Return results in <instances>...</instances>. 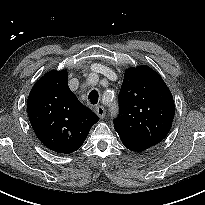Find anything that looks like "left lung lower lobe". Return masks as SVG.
Here are the masks:
<instances>
[{"instance_id": "left-lung-lower-lobe-1", "label": "left lung lower lobe", "mask_w": 205, "mask_h": 205, "mask_svg": "<svg viewBox=\"0 0 205 205\" xmlns=\"http://www.w3.org/2000/svg\"><path fill=\"white\" fill-rule=\"evenodd\" d=\"M116 131L119 134L122 143L125 145V147H127L131 151L142 152L153 146L145 142H142L138 139H135L122 131L119 130Z\"/></svg>"}]
</instances>
